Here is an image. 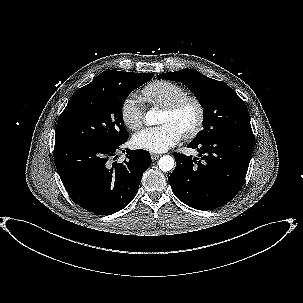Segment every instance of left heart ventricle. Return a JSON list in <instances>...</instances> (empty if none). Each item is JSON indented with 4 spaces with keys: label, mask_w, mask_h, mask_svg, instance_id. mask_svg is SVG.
Masks as SVG:
<instances>
[{
    "label": "left heart ventricle",
    "mask_w": 303,
    "mask_h": 303,
    "mask_svg": "<svg viewBox=\"0 0 303 303\" xmlns=\"http://www.w3.org/2000/svg\"><path fill=\"white\" fill-rule=\"evenodd\" d=\"M195 120L196 109L194 105L187 103L176 113H168L163 110L159 118V124L171 123L183 133L193 126Z\"/></svg>",
    "instance_id": "obj_1"
}]
</instances>
